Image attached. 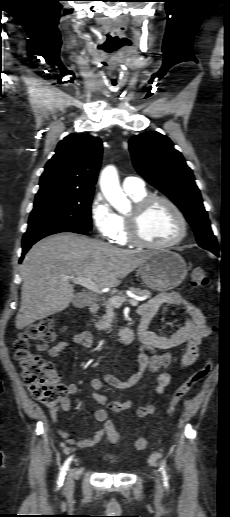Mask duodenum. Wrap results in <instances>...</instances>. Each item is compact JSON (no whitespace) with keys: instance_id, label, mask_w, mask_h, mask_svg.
Returning a JSON list of instances; mask_svg holds the SVG:
<instances>
[{"instance_id":"1","label":"duodenum","mask_w":230,"mask_h":517,"mask_svg":"<svg viewBox=\"0 0 230 517\" xmlns=\"http://www.w3.org/2000/svg\"><path fill=\"white\" fill-rule=\"evenodd\" d=\"M89 309L92 313H97L100 309V305L98 302H92ZM151 317L152 315L150 313H140V321L138 325L136 327H128L124 329L115 339L112 340V343L126 346L134 342L136 339L141 340ZM87 325L89 328L91 327V319L87 320Z\"/></svg>"}]
</instances>
